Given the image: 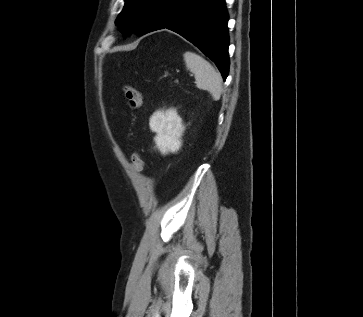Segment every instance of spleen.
I'll return each instance as SVG.
<instances>
[{"instance_id":"spleen-1","label":"spleen","mask_w":363,"mask_h":317,"mask_svg":"<svg viewBox=\"0 0 363 317\" xmlns=\"http://www.w3.org/2000/svg\"><path fill=\"white\" fill-rule=\"evenodd\" d=\"M187 69L195 75L196 86L210 92L219 99L222 92V77L214 67L200 55L187 51L183 55Z\"/></svg>"}]
</instances>
